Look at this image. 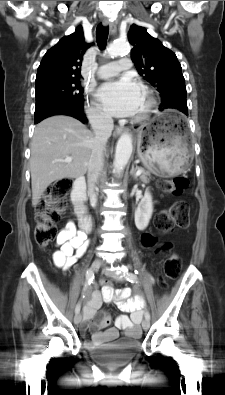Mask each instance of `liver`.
I'll use <instances>...</instances> for the list:
<instances>
[{
  "instance_id": "obj_1",
  "label": "liver",
  "mask_w": 225,
  "mask_h": 395,
  "mask_svg": "<svg viewBox=\"0 0 225 395\" xmlns=\"http://www.w3.org/2000/svg\"><path fill=\"white\" fill-rule=\"evenodd\" d=\"M93 139V132L70 116H52L36 126L30 157L34 207L52 182L86 173ZM66 157H72V161L63 162Z\"/></svg>"
}]
</instances>
